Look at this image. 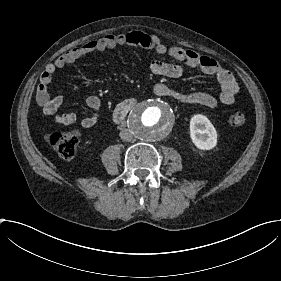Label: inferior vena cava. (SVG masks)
Wrapping results in <instances>:
<instances>
[{"mask_svg":"<svg viewBox=\"0 0 281 281\" xmlns=\"http://www.w3.org/2000/svg\"><path fill=\"white\" fill-rule=\"evenodd\" d=\"M120 137H121V139L124 140V141H132L134 135L132 134V132H131L130 129H123V130L120 132Z\"/></svg>","mask_w":281,"mask_h":281,"instance_id":"inferior-vena-cava-1","label":"inferior vena cava"}]
</instances>
